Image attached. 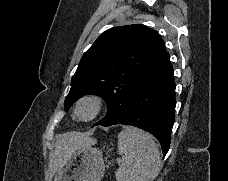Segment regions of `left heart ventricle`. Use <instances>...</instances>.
I'll return each instance as SVG.
<instances>
[{"label":"left heart ventricle","mask_w":228,"mask_h":181,"mask_svg":"<svg viewBox=\"0 0 228 181\" xmlns=\"http://www.w3.org/2000/svg\"><path fill=\"white\" fill-rule=\"evenodd\" d=\"M82 114H87V109L84 108L82 111H81Z\"/></svg>","instance_id":"left-heart-ventricle-1"}]
</instances>
